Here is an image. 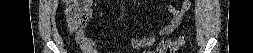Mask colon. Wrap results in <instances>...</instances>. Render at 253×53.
<instances>
[{
	"instance_id": "5ec220e1",
	"label": "colon",
	"mask_w": 253,
	"mask_h": 53,
	"mask_svg": "<svg viewBox=\"0 0 253 53\" xmlns=\"http://www.w3.org/2000/svg\"><path fill=\"white\" fill-rule=\"evenodd\" d=\"M90 1H73L67 10L69 27L71 30L84 28L91 17V7L88 5ZM186 44V36L181 34L177 40H163L158 48L159 53H175L183 48Z\"/></svg>"
}]
</instances>
